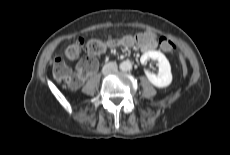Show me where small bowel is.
Returning <instances> with one entry per match:
<instances>
[{
  "mask_svg": "<svg viewBox=\"0 0 230 155\" xmlns=\"http://www.w3.org/2000/svg\"><path fill=\"white\" fill-rule=\"evenodd\" d=\"M141 35H143L147 41L140 44V47L144 51H152L157 47L156 34L151 31H144ZM118 44L116 40H111L109 42V47L113 48Z\"/></svg>",
  "mask_w": 230,
  "mask_h": 155,
  "instance_id": "small-bowel-1",
  "label": "small bowel"
}]
</instances>
